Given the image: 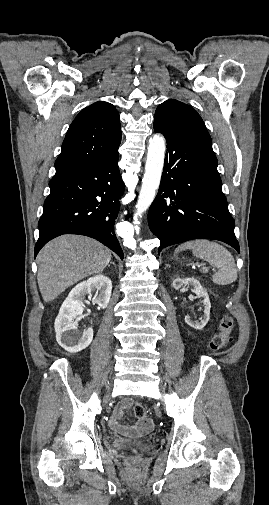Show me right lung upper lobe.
<instances>
[{
    "label": "right lung upper lobe",
    "mask_w": 269,
    "mask_h": 505,
    "mask_svg": "<svg viewBox=\"0 0 269 505\" xmlns=\"http://www.w3.org/2000/svg\"><path fill=\"white\" fill-rule=\"evenodd\" d=\"M121 142L116 108L98 101L83 109L70 125L55 161L56 174L64 173L118 150Z\"/></svg>",
    "instance_id": "cb5924a9"
}]
</instances>
